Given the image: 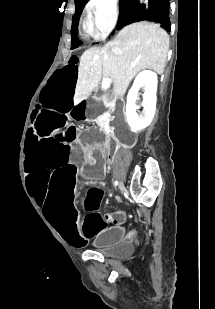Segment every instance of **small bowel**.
<instances>
[{
	"label": "small bowel",
	"mask_w": 215,
	"mask_h": 309,
	"mask_svg": "<svg viewBox=\"0 0 215 309\" xmlns=\"http://www.w3.org/2000/svg\"><path fill=\"white\" fill-rule=\"evenodd\" d=\"M99 192L103 194V192H102V191H99ZM102 198H103V196H102ZM102 198H100V200H101Z\"/></svg>",
	"instance_id": "small-bowel-1"
}]
</instances>
